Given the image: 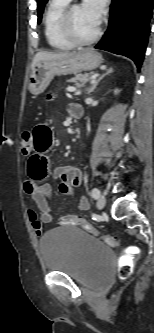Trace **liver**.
<instances>
[{
  "label": "liver",
  "mask_w": 154,
  "mask_h": 333,
  "mask_svg": "<svg viewBox=\"0 0 154 333\" xmlns=\"http://www.w3.org/2000/svg\"><path fill=\"white\" fill-rule=\"evenodd\" d=\"M76 52H60V53H54V52H46V51H41L38 52L32 62V68L39 62L41 61H52V60H57V59H62L65 57H70L75 55Z\"/></svg>",
  "instance_id": "1"
}]
</instances>
